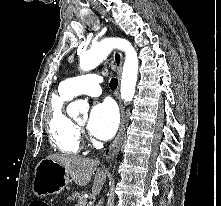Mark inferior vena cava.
Here are the masks:
<instances>
[{"label": "inferior vena cava", "instance_id": "obj_1", "mask_svg": "<svg viewBox=\"0 0 221 206\" xmlns=\"http://www.w3.org/2000/svg\"><path fill=\"white\" fill-rule=\"evenodd\" d=\"M104 199H101L96 206H103Z\"/></svg>", "mask_w": 221, "mask_h": 206}]
</instances>
